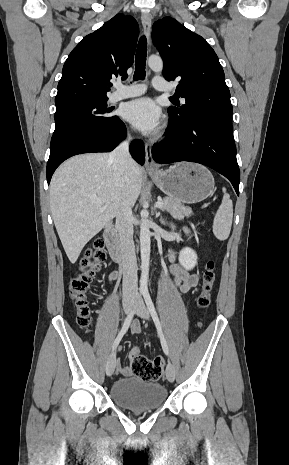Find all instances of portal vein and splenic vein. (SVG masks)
I'll use <instances>...</instances> for the list:
<instances>
[{
  "label": "portal vein and splenic vein",
  "instance_id": "18ae733b",
  "mask_svg": "<svg viewBox=\"0 0 289 465\" xmlns=\"http://www.w3.org/2000/svg\"><path fill=\"white\" fill-rule=\"evenodd\" d=\"M93 199H94L95 201H97L98 203H102V201L99 200V199L96 198V197H94ZM155 205H156V207L161 208V207L163 206V201H157Z\"/></svg>",
  "mask_w": 289,
  "mask_h": 465
}]
</instances>
